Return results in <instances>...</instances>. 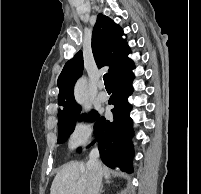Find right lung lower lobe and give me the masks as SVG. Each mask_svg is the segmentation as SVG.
I'll return each mask as SVG.
<instances>
[{
  "mask_svg": "<svg viewBox=\"0 0 201 194\" xmlns=\"http://www.w3.org/2000/svg\"><path fill=\"white\" fill-rule=\"evenodd\" d=\"M133 69L134 64L112 80L113 94L109 104L114 105L112 109L114 120L109 121L100 117L94 125L95 141H98L103 163L110 168L121 167L129 173L133 170L134 152L131 143L132 120L129 117L131 105L127 98L133 91Z\"/></svg>",
  "mask_w": 201,
  "mask_h": 194,
  "instance_id": "right-lung-lower-lobe-1",
  "label": "right lung lower lobe"
}]
</instances>
